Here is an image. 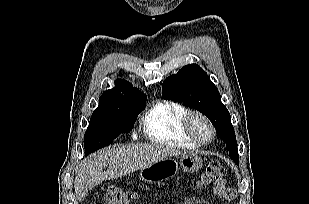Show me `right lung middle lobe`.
<instances>
[{
    "instance_id": "1",
    "label": "right lung middle lobe",
    "mask_w": 309,
    "mask_h": 204,
    "mask_svg": "<svg viewBox=\"0 0 309 204\" xmlns=\"http://www.w3.org/2000/svg\"><path fill=\"white\" fill-rule=\"evenodd\" d=\"M145 106L146 98L99 105L93 112L85 133V154L109 145L120 134L132 130L138 114Z\"/></svg>"
}]
</instances>
